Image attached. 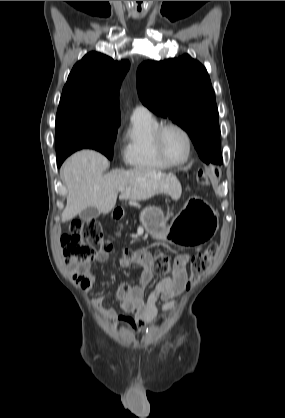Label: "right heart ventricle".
Returning a JSON list of instances; mask_svg holds the SVG:
<instances>
[{"instance_id":"e07e8e85","label":"right heart ventricle","mask_w":285,"mask_h":418,"mask_svg":"<svg viewBox=\"0 0 285 418\" xmlns=\"http://www.w3.org/2000/svg\"><path fill=\"white\" fill-rule=\"evenodd\" d=\"M160 124L150 116L131 119L130 126L123 136V156L126 164L133 168L157 171L169 167L158 155L153 135Z\"/></svg>"}]
</instances>
